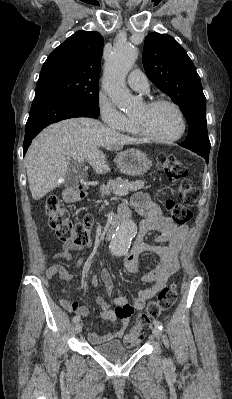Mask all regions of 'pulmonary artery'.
<instances>
[{
    "instance_id": "1",
    "label": "pulmonary artery",
    "mask_w": 232,
    "mask_h": 399,
    "mask_svg": "<svg viewBox=\"0 0 232 399\" xmlns=\"http://www.w3.org/2000/svg\"><path fill=\"white\" fill-rule=\"evenodd\" d=\"M130 74L129 84L137 89V96H150V89L140 85L146 84V73H141L140 69H131Z\"/></svg>"
}]
</instances>
